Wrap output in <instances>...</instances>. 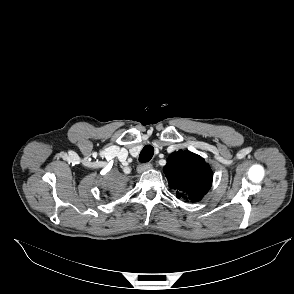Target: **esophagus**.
I'll return each instance as SVG.
<instances>
[{
	"instance_id": "1",
	"label": "esophagus",
	"mask_w": 294,
	"mask_h": 294,
	"mask_svg": "<svg viewBox=\"0 0 294 294\" xmlns=\"http://www.w3.org/2000/svg\"><path fill=\"white\" fill-rule=\"evenodd\" d=\"M152 168V164L151 163H144V164H141L137 167V172L138 173H142L144 171H147L149 169Z\"/></svg>"
}]
</instances>
